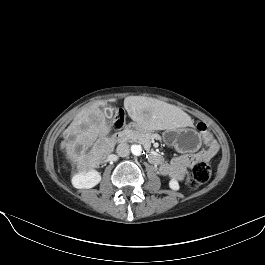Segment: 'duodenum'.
I'll use <instances>...</instances> for the list:
<instances>
[{
    "mask_svg": "<svg viewBox=\"0 0 265 265\" xmlns=\"http://www.w3.org/2000/svg\"><path fill=\"white\" fill-rule=\"evenodd\" d=\"M124 138H125V132H124V131L117 132V133H115V134L113 135V140H114L115 142H120V141H122ZM149 160H150L153 164L158 165V166L161 165V164L163 163V159H162L160 156H158V155H156V154H154V153H151V154L149 155Z\"/></svg>",
    "mask_w": 265,
    "mask_h": 265,
    "instance_id": "obj_1",
    "label": "duodenum"
}]
</instances>
